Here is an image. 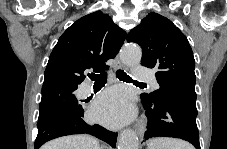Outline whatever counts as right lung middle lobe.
<instances>
[{
	"label": "right lung middle lobe",
	"instance_id": "obj_1",
	"mask_svg": "<svg viewBox=\"0 0 227 149\" xmlns=\"http://www.w3.org/2000/svg\"><path fill=\"white\" fill-rule=\"evenodd\" d=\"M75 85L55 84L42 88V98L39 105V119L62 110L82 111L74 95Z\"/></svg>",
	"mask_w": 227,
	"mask_h": 149
}]
</instances>
